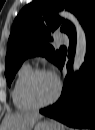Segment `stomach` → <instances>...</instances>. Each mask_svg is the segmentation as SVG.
<instances>
[{"instance_id":"0dacf381","label":"stomach","mask_w":95,"mask_h":130,"mask_svg":"<svg viewBox=\"0 0 95 130\" xmlns=\"http://www.w3.org/2000/svg\"><path fill=\"white\" fill-rule=\"evenodd\" d=\"M33 130H63V127L54 120H42L34 125Z\"/></svg>"}]
</instances>
